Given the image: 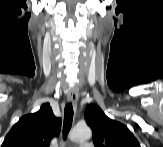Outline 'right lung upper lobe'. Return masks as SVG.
Returning a JSON list of instances; mask_svg holds the SVG:
<instances>
[{
  "label": "right lung upper lobe",
  "instance_id": "obj_1",
  "mask_svg": "<svg viewBox=\"0 0 163 147\" xmlns=\"http://www.w3.org/2000/svg\"><path fill=\"white\" fill-rule=\"evenodd\" d=\"M61 119L54 116L49 103L39 111L27 114L12 127L2 147H47L50 140L59 134Z\"/></svg>",
  "mask_w": 163,
  "mask_h": 147
}]
</instances>
